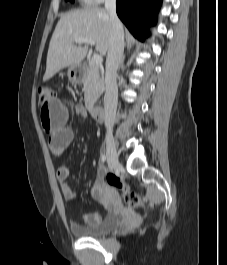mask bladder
<instances>
[{
    "mask_svg": "<svg viewBox=\"0 0 227 265\" xmlns=\"http://www.w3.org/2000/svg\"><path fill=\"white\" fill-rule=\"evenodd\" d=\"M121 223V218L114 212H109L103 220L95 226H85L78 223L70 225L71 232L79 238H99L114 231Z\"/></svg>",
    "mask_w": 227,
    "mask_h": 265,
    "instance_id": "31cf9c89",
    "label": "bladder"
}]
</instances>
